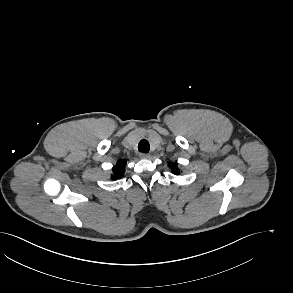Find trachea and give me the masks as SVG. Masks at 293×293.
<instances>
[{
    "label": "trachea",
    "mask_w": 293,
    "mask_h": 293,
    "mask_svg": "<svg viewBox=\"0 0 293 293\" xmlns=\"http://www.w3.org/2000/svg\"><path fill=\"white\" fill-rule=\"evenodd\" d=\"M138 150L143 153H148L150 150V144L146 139H142L138 144Z\"/></svg>",
    "instance_id": "1"
}]
</instances>
